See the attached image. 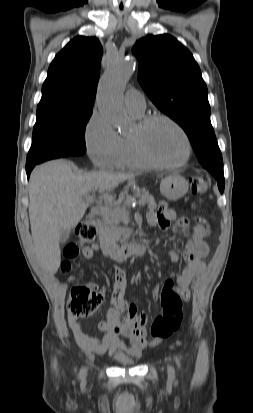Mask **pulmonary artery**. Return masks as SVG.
<instances>
[{
	"instance_id": "pulmonary-artery-1",
	"label": "pulmonary artery",
	"mask_w": 253,
	"mask_h": 413,
	"mask_svg": "<svg viewBox=\"0 0 253 413\" xmlns=\"http://www.w3.org/2000/svg\"><path fill=\"white\" fill-rule=\"evenodd\" d=\"M125 107L129 112L142 114L146 109L145 98L137 90L130 89L125 93Z\"/></svg>"
}]
</instances>
